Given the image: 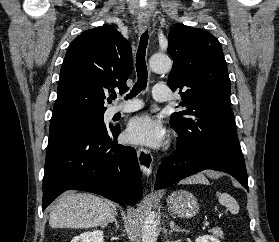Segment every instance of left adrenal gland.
<instances>
[{"mask_svg":"<svg viewBox=\"0 0 279 242\" xmlns=\"http://www.w3.org/2000/svg\"><path fill=\"white\" fill-rule=\"evenodd\" d=\"M169 225H170V231H169L170 234L173 233L174 231H176V232H188V231L185 230V229H180V228L174 223V221H170V222H169Z\"/></svg>","mask_w":279,"mask_h":242,"instance_id":"left-adrenal-gland-1","label":"left adrenal gland"}]
</instances>
